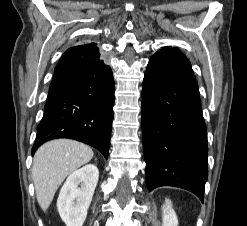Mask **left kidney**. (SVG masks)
I'll return each mask as SVG.
<instances>
[{"instance_id": "left-kidney-1", "label": "left kidney", "mask_w": 247, "mask_h": 226, "mask_svg": "<svg viewBox=\"0 0 247 226\" xmlns=\"http://www.w3.org/2000/svg\"><path fill=\"white\" fill-rule=\"evenodd\" d=\"M162 211L163 226H178V218L169 199H166Z\"/></svg>"}]
</instances>
